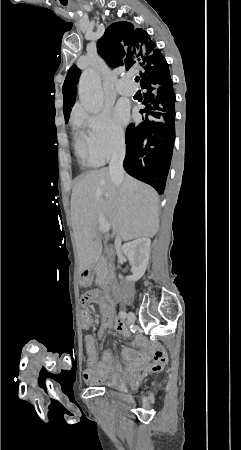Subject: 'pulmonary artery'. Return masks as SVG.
<instances>
[{
  "label": "pulmonary artery",
  "mask_w": 241,
  "mask_h": 450,
  "mask_svg": "<svg viewBox=\"0 0 241 450\" xmlns=\"http://www.w3.org/2000/svg\"><path fill=\"white\" fill-rule=\"evenodd\" d=\"M134 85L133 78H119L117 80L116 90L117 92H130L131 87Z\"/></svg>",
  "instance_id": "1"
}]
</instances>
